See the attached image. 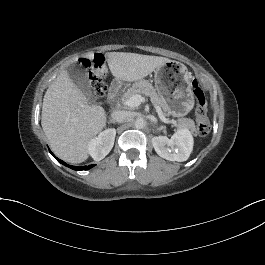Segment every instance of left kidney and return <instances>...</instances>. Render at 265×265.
I'll list each match as a JSON object with an SVG mask.
<instances>
[{
    "label": "left kidney",
    "instance_id": "left-kidney-1",
    "mask_svg": "<svg viewBox=\"0 0 265 265\" xmlns=\"http://www.w3.org/2000/svg\"><path fill=\"white\" fill-rule=\"evenodd\" d=\"M151 143L161 158L172 162L186 161L192 149V137L188 129H179L171 139L154 137Z\"/></svg>",
    "mask_w": 265,
    "mask_h": 265
}]
</instances>
